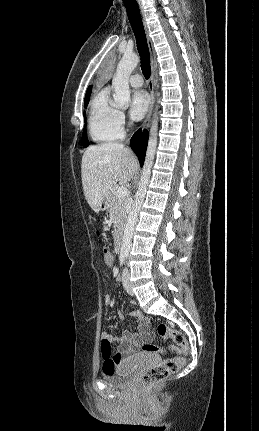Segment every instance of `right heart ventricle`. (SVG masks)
I'll list each match as a JSON object with an SVG mask.
<instances>
[{
  "label": "right heart ventricle",
  "mask_w": 259,
  "mask_h": 431,
  "mask_svg": "<svg viewBox=\"0 0 259 431\" xmlns=\"http://www.w3.org/2000/svg\"><path fill=\"white\" fill-rule=\"evenodd\" d=\"M116 111L109 103L108 89L94 95L88 113V131L94 142L107 143L122 137V130L115 119Z\"/></svg>",
  "instance_id": "right-heart-ventricle-1"
}]
</instances>
